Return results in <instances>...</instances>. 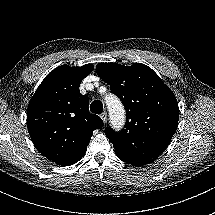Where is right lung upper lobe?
<instances>
[{
  "mask_svg": "<svg viewBox=\"0 0 215 215\" xmlns=\"http://www.w3.org/2000/svg\"><path fill=\"white\" fill-rule=\"evenodd\" d=\"M94 66L62 65L51 71L31 98L27 127L37 150L47 159L69 166L87 150L93 131L103 127L102 119L89 113V100L79 92L81 81Z\"/></svg>",
  "mask_w": 215,
  "mask_h": 215,
  "instance_id": "cb5924a9",
  "label": "right lung upper lobe"
}]
</instances>
